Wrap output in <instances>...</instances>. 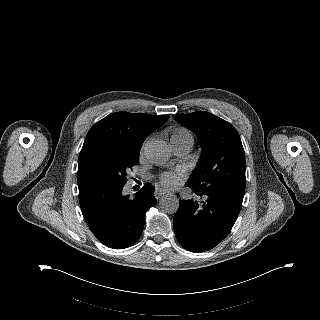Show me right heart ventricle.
Returning a JSON list of instances; mask_svg holds the SVG:
<instances>
[{"label": "right heart ventricle", "instance_id": "obj_1", "mask_svg": "<svg viewBox=\"0 0 320 320\" xmlns=\"http://www.w3.org/2000/svg\"><path fill=\"white\" fill-rule=\"evenodd\" d=\"M170 141H188L193 143L192 134L183 127L175 128L171 134Z\"/></svg>", "mask_w": 320, "mask_h": 320}]
</instances>
